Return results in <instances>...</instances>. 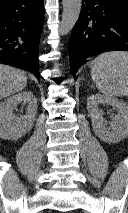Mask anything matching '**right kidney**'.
Instances as JSON below:
<instances>
[{"label":"right kidney","instance_id":"1","mask_svg":"<svg viewBox=\"0 0 128 213\" xmlns=\"http://www.w3.org/2000/svg\"><path fill=\"white\" fill-rule=\"evenodd\" d=\"M27 103V112L17 117L13 110L19 103ZM37 114V98L31 91H22L0 102V138L18 140L29 132Z\"/></svg>","mask_w":128,"mask_h":213}]
</instances>
